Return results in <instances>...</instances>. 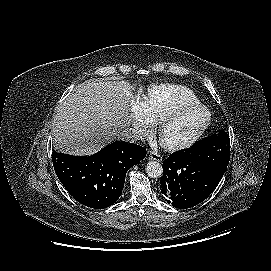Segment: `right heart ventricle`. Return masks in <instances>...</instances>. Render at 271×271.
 Returning <instances> with one entry per match:
<instances>
[{
	"mask_svg": "<svg viewBox=\"0 0 271 271\" xmlns=\"http://www.w3.org/2000/svg\"><path fill=\"white\" fill-rule=\"evenodd\" d=\"M198 96L189 88L178 84H155L144 96V110L151 123H157L166 113L193 103H199Z\"/></svg>",
	"mask_w": 271,
	"mask_h": 271,
	"instance_id": "1",
	"label": "right heart ventricle"
}]
</instances>
